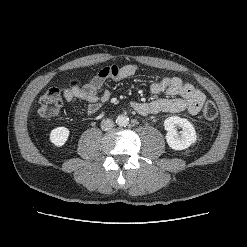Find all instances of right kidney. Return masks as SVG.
Here are the masks:
<instances>
[{
    "mask_svg": "<svg viewBox=\"0 0 247 247\" xmlns=\"http://www.w3.org/2000/svg\"><path fill=\"white\" fill-rule=\"evenodd\" d=\"M70 131L66 127H57L50 133V141L57 147L63 146L68 140Z\"/></svg>",
    "mask_w": 247,
    "mask_h": 247,
    "instance_id": "obj_1",
    "label": "right kidney"
}]
</instances>
